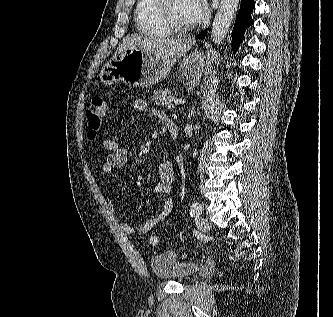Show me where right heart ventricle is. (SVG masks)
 <instances>
[{"label": "right heart ventricle", "mask_w": 333, "mask_h": 317, "mask_svg": "<svg viewBox=\"0 0 333 317\" xmlns=\"http://www.w3.org/2000/svg\"><path fill=\"white\" fill-rule=\"evenodd\" d=\"M137 30L147 36L167 37L171 35L159 21L156 13V0H138L135 7Z\"/></svg>", "instance_id": "right-heart-ventricle-1"}]
</instances>
